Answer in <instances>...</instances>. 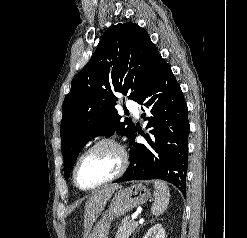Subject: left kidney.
<instances>
[{
  "instance_id": "obj_1",
  "label": "left kidney",
  "mask_w": 247,
  "mask_h": 238,
  "mask_svg": "<svg viewBox=\"0 0 247 238\" xmlns=\"http://www.w3.org/2000/svg\"><path fill=\"white\" fill-rule=\"evenodd\" d=\"M143 238H165V230L161 224L154 225Z\"/></svg>"
}]
</instances>
